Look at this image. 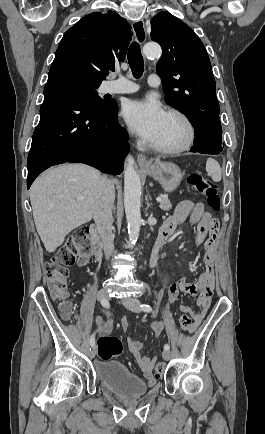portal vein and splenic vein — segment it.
<instances>
[{
  "label": "portal vein and splenic vein",
  "mask_w": 265,
  "mask_h": 434,
  "mask_svg": "<svg viewBox=\"0 0 265 434\" xmlns=\"http://www.w3.org/2000/svg\"><path fill=\"white\" fill-rule=\"evenodd\" d=\"M77 200H81V202H82L83 198H77ZM156 200H157V202H161L162 198H156Z\"/></svg>",
  "instance_id": "obj_1"
}]
</instances>
